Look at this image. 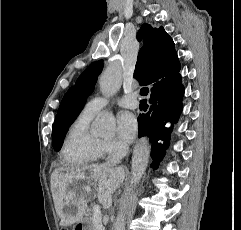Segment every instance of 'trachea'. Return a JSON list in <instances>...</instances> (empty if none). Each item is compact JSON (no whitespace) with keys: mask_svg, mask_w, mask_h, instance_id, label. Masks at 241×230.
I'll return each instance as SVG.
<instances>
[{"mask_svg":"<svg viewBox=\"0 0 241 230\" xmlns=\"http://www.w3.org/2000/svg\"><path fill=\"white\" fill-rule=\"evenodd\" d=\"M148 92H149V89H148V88H142V89L140 90V94H141L142 96L147 95ZM141 102H146V99L142 100Z\"/></svg>","mask_w":241,"mask_h":230,"instance_id":"1","label":"trachea"}]
</instances>
